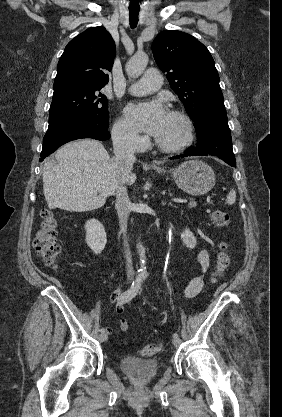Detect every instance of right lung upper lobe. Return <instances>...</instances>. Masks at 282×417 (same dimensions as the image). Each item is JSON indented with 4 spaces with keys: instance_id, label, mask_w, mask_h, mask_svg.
<instances>
[{
    "instance_id": "1",
    "label": "right lung upper lobe",
    "mask_w": 282,
    "mask_h": 417,
    "mask_svg": "<svg viewBox=\"0 0 282 417\" xmlns=\"http://www.w3.org/2000/svg\"><path fill=\"white\" fill-rule=\"evenodd\" d=\"M115 43L102 26L91 27L65 47L54 81V92L75 88H103L109 81Z\"/></svg>"
}]
</instances>
